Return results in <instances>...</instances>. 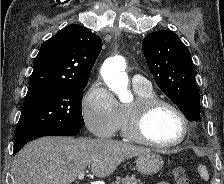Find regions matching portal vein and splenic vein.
<instances>
[{
	"label": "portal vein and splenic vein",
	"mask_w": 224,
	"mask_h": 184,
	"mask_svg": "<svg viewBox=\"0 0 224 184\" xmlns=\"http://www.w3.org/2000/svg\"><path fill=\"white\" fill-rule=\"evenodd\" d=\"M84 176H85V173L83 171V172H80L77 177L79 180H82L84 178Z\"/></svg>",
	"instance_id": "obj_1"
}]
</instances>
